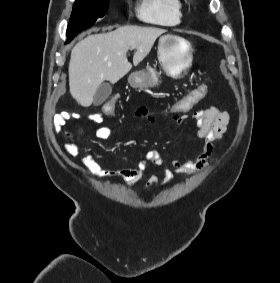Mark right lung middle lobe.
<instances>
[{"instance_id": "1", "label": "right lung middle lobe", "mask_w": 280, "mask_h": 283, "mask_svg": "<svg viewBox=\"0 0 280 283\" xmlns=\"http://www.w3.org/2000/svg\"><path fill=\"white\" fill-rule=\"evenodd\" d=\"M108 2L109 0H76L67 27V42L92 26L99 17H103L108 10Z\"/></svg>"}]
</instances>
